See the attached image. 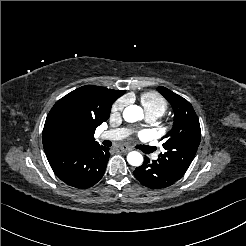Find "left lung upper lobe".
Masks as SVG:
<instances>
[{
  "mask_svg": "<svg viewBox=\"0 0 246 246\" xmlns=\"http://www.w3.org/2000/svg\"><path fill=\"white\" fill-rule=\"evenodd\" d=\"M157 90L169 101L175 113L173 128L163 137L165 152L159 154L158 160L183 176L200 143L199 120L186 99L165 87H158Z\"/></svg>",
  "mask_w": 246,
  "mask_h": 246,
  "instance_id": "1",
  "label": "left lung upper lobe"
}]
</instances>
